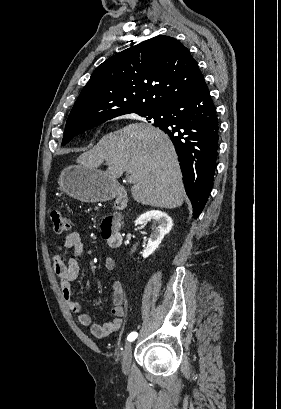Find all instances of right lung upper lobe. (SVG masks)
Wrapping results in <instances>:
<instances>
[{"instance_id":"1","label":"right lung upper lobe","mask_w":281,"mask_h":409,"mask_svg":"<svg viewBox=\"0 0 281 409\" xmlns=\"http://www.w3.org/2000/svg\"><path fill=\"white\" fill-rule=\"evenodd\" d=\"M202 76L189 50L156 36L99 65L81 91L66 127H83L127 112H156Z\"/></svg>"}]
</instances>
